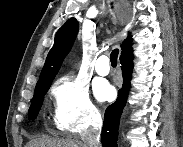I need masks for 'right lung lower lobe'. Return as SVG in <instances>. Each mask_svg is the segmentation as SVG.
<instances>
[{"instance_id":"1","label":"right lung lower lobe","mask_w":183,"mask_h":147,"mask_svg":"<svg viewBox=\"0 0 183 147\" xmlns=\"http://www.w3.org/2000/svg\"><path fill=\"white\" fill-rule=\"evenodd\" d=\"M133 51L122 54L120 63L122 67L123 86L118 91L117 100L107 107L104 115L101 142L103 147H117L119 120L126 104L130 89V80L133 70Z\"/></svg>"}]
</instances>
